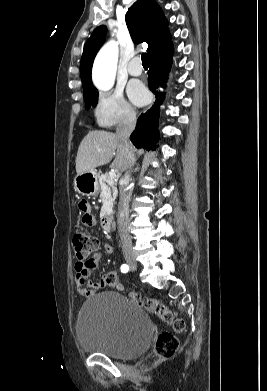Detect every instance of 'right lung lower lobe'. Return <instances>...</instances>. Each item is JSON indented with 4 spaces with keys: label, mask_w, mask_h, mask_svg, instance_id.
I'll return each mask as SVG.
<instances>
[{
    "label": "right lung lower lobe",
    "mask_w": 267,
    "mask_h": 391,
    "mask_svg": "<svg viewBox=\"0 0 267 391\" xmlns=\"http://www.w3.org/2000/svg\"><path fill=\"white\" fill-rule=\"evenodd\" d=\"M173 56L172 44L149 58L150 70L148 72L149 89L155 94V104L138 118L135 131L130 140L137 148H152L158 141L157 122L159 105L164 96L157 91L159 86L164 87V79L168 76Z\"/></svg>",
    "instance_id": "right-lung-lower-lobe-1"
}]
</instances>
